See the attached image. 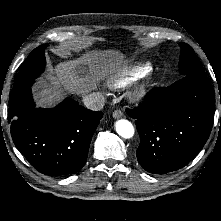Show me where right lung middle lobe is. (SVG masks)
<instances>
[{"mask_svg":"<svg viewBox=\"0 0 221 221\" xmlns=\"http://www.w3.org/2000/svg\"><path fill=\"white\" fill-rule=\"evenodd\" d=\"M47 46L48 44H43L30 53L16 76L14 87L34 81L44 71L46 64L44 49Z\"/></svg>","mask_w":221,"mask_h":221,"instance_id":"obj_1","label":"right lung middle lobe"}]
</instances>
